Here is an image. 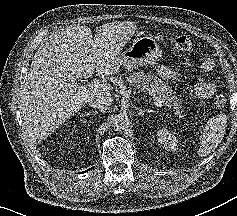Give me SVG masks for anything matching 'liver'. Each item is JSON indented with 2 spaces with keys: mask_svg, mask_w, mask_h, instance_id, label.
Segmentation results:
<instances>
[{
  "mask_svg": "<svg viewBox=\"0 0 237 216\" xmlns=\"http://www.w3.org/2000/svg\"><path fill=\"white\" fill-rule=\"evenodd\" d=\"M92 37L87 26L67 27L36 53L20 96L26 129L33 139L54 131L77 113L93 93L103 91L110 95L112 87L105 81L88 87L77 83V79L91 78L94 73L109 76L119 70L113 43H95Z\"/></svg>",
  "mask_w": 237,
  "mask_h": 216,
  "instance_id": "liver-1",
  "label": "liver"
}]
</instances>
